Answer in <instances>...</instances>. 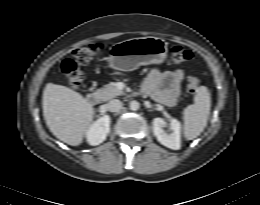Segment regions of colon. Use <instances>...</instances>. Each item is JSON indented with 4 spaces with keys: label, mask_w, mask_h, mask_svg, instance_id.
<instances>
[{
    "label": "colon",
    "mask_w": 260,
    "mask_h": 205,
    "mask_svg": "<svg viewBox=\"0 0 260 205\" xmlns=\"http://www.w3.org/2000/svg\"><path fill=\"white\" fill-rule=\"evenodd\" d=\"M101 51L99 44H85L76 48L72 56L63 60L61 70L67 83L72 87H78L84 80V74L80 69L81 65L92 62ZM170 57L174 63H185L191 59V52L181 45H174L170 48ZM199 86V80L195 76L187 79V90L195 93Z\"/></svg>",
    "instance_id": "obj_1"
}]
</instances>
